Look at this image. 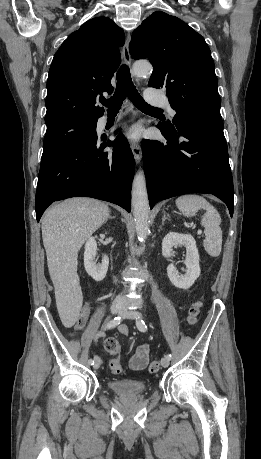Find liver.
<instances>
[{"mask_svg":"<svg viewBox=\"0 0 261 459\" xmlns=\"http://www.w3.org/2000/svg\"><path fill=\"white\" fill-rule=\"evenodd\" d=\"M109 214L107 204L92 198L76 197L53 206L42 218L48 270L55 289L57 309L66 326L75 323L82 303L77 275L78 252L106 222Z\"/></svg>","mask_w":261,"mask_h":459,"instance_id":"1","label":"liver"}]
</instances>
